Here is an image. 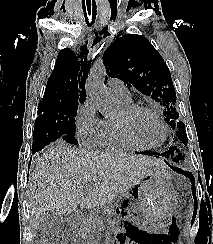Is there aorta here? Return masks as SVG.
I'll return each instance as SVG.
<instances>
[{
    "label": "aorta",
    "instance_id": "1",
    "mask_svg": "<svg viewBox=\"0 0 213 244\" xmlns=\"http://www.w3.org/2000/svg\"><path fill=\"white\" fill-rule=\"evenodd\" d=\"M106 69L102 63L95 64L88 75L86 91L90 101L105 117H111L117 109L116 101L107 92L104 80Z\"/></svg>",
    "mask_w": 213,
    "mask_h": 244
}]
</instances>
